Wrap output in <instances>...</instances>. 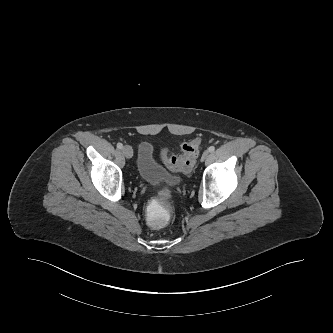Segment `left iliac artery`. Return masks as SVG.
I'll return each instance as SVG.
<instances>
[{
    "mask_svg": "<svg viewBox=\"0 0 333 333\" xmlns=\"http://www.w3.org/2000/svg\"><path fill=\"white\" fill-rule=\"evenodd\" d=\"M208 151H209V152H214V151H215V147H214V146H210V147L208 148Z\"/></svg>",
    "mask_w": 333,
    "mask_h": 333,
    "instance_id": "obj_1",
    "label": "left iliac artery"
}]
</instances>
